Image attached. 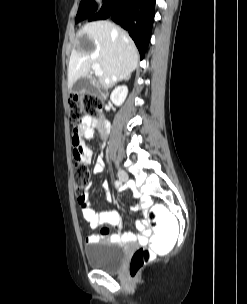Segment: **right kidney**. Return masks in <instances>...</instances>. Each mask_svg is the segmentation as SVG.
Returning <instances> with one entry per match:
<instances>
[{"label": "right kidney", "instance_id": "1", "mask_svg": "<svg viewBox=\"0 0 247 304\" xmlns=\"http://www.w3.org/2000/svg\"><path fill=\"white\" fill-rule=\"evenodd\" d=\"M128 94V88L126 85H121L116 87L113 92L111 93L110 99L113 104L116 106L122 105V103L125 101Z\"/></svg>", "mask_w": 247, "mask_h": 304}]
</instances>
